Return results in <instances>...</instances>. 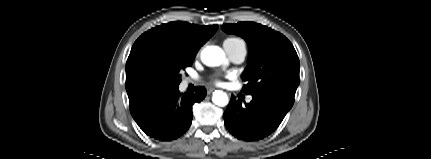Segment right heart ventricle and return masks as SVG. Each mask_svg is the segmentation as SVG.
<instances>
[{
	"instance_id": "obj_1",
	"label": "right heart ventricle",
	"mask_w": 431,
	"mask_h": 159,
	"mask_svg": "<svg viewBox=\"0 0 431 159\" xmlns=\"http://www.w3.org/2000/svg\"><path fill=\"white\" fill-rule=\"evenodd\" d=\"M241 41L239 38H235V37H229L227 39H225L224 44H234L236 42Z\"/></svg>"
}]
</instances>
